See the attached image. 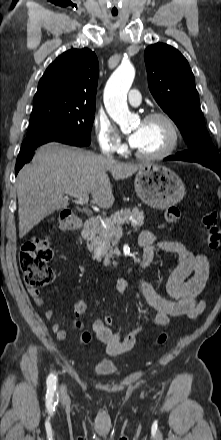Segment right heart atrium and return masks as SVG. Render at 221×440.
<instances>
[{"instance_id": "right-heart-atrium-1", "label": "right heart atrium", "mask_w": 221, "mask_h": 440, "mask_svg": "<svg viewBox=\"0 0 221 440\" xmlns=\"http://www.w3.org/2000/svg\"><path fill=\"white\" fill-rule=\"evenodd\" d=\"M92 126L98 145L104 153L120 154L124 151L125 145L120 134L104 113L95 114Z\"/></svg>"}]
</instances>
